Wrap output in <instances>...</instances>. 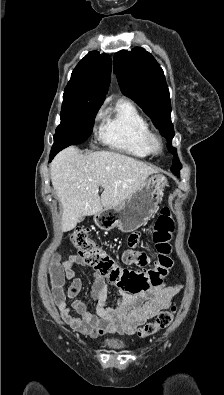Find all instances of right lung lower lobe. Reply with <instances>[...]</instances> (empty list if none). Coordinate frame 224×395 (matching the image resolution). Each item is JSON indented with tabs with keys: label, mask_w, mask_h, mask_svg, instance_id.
<instances>
[{
	"label": "right lung lower lobe",
	"mask_w": 224,
	"mask_h": 395,
	"mask_svg": "<svg viewBox=\"0 0 224 395\" xmlns=\"http://www.w3.org/2000/svg\"><path fill=\"white\" fill-rule=\"evenodd\" d=\"M66 147H67V145H57V144H54L53 147H52V149H51L50 160H49V161H51V160L53 159V157H54L59 151H61L62 149L66 148Z\"/></svg>",
	"instance_id": "obj_1"
}]
</instances>
